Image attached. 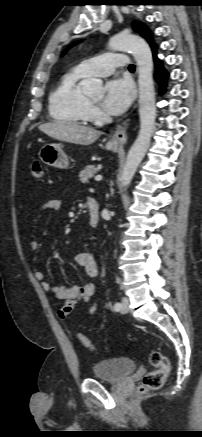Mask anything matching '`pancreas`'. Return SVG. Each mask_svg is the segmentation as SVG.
Instances as JSON below:
<instances>
[{
  "label": "pancreas",
  "mask_w": 202,
  "mask_h": 437,
  "mask_svg": "<svg viewBox=\"0 0 202 437\" xmlns=\"http://www.w3.org/2000/svg\"><path fill=\"white\" fill-rule=\"evenodd\" d=\"M97 172L98 169L95 167V165L86 166L79 174L81 182L88 183L89 179L92 178Z\"/></svg>",
  "instance_id": "pancreas-1"
}]
</instances>
